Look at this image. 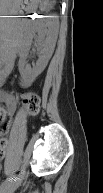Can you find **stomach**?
Returning a JSON list of instances; mask_svg holds the SVG:
<instances>
[{
	"instance_id": "stomach-1",
	"label": "stomach",
	"mask_w": 103,
	"mask_h": 193,
	"mask_svg": "<svg viewBox=\"0 0 103 193\" xmlns=\"http://www.w3.org/2000/svg\"><path fill=\"white\" fill-rule=\"evenodd\" d=\"M39 2L40 0H0V15L3 18L4 31H6V24L10 20L7 17L34 12ZM9 42V38L3 40V53L9 48Z\"/></svg>"
}]
</instances>
